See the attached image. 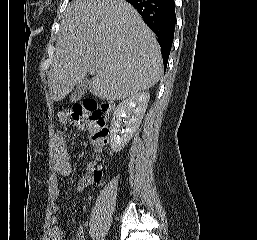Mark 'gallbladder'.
<instances>
[{"mask_svg":"<svg viewBox=\"0 0 257 240\" xmlns=\"http://www.w3.org/2000/svg\"><path fill=\"white\" fill-rule=\"evenodd\" d=\"M88 79L87 78H83L80 82H78L75 86V89L70 97V101L72 103H75L76 101H78L87 91V87H88Z\"/></svg>","mask_w":257,"mask_h":240,"instance_id":"1","label":"gallbladder"}]
</instances>
